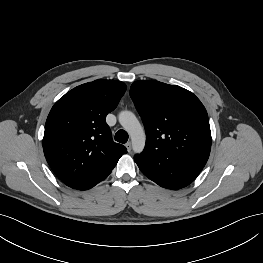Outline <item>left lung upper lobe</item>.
<instances>
[{"mask_svg": "<svg viewBox=\"0 0 263 263\" xmlns=\"http://www.w3.org/2000/svg\"><path fill=\"white\" fill-rule=\"evenodd\" d=\"M129 93L146 130L140 155L175 160L201 171L210 154L211 131L200 100L182 87L159 81H136Z\"/></svg>", "mask_w": 263, "mask_h": 263, "instance_id": "1", "label": "left lung upper lobe"}]
</instances>
